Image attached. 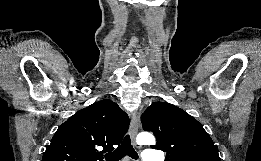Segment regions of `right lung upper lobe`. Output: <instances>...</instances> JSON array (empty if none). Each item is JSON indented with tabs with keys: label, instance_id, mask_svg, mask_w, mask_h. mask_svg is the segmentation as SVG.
Returning a JSON list of instances; mask_svg holds the SVG:
<instances>
[{
	"label": "right lung upper lobe",
	"instance_id": "obj_1",
	"mask_svg": "<svg viewBox=\"0 0 261 161\" xmlns=\"http://www.w3.org/2000/svg\"><path fill=\"white\" fill-rule=\"evenodd\" d=\"M128 127L129 118L116 103L95 102L59 126L42 161H103L102 153L113 150Z\"/></svg>",
	"mask_w": 261,
	"mask_h": 161
}]
</instances>
